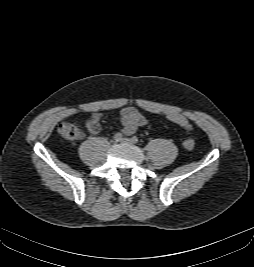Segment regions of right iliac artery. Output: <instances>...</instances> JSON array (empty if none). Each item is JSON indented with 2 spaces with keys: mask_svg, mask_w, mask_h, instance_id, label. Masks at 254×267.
Returning a JSON list of instances; mask_svg holds the SVG:
<instances>
[{
  "mask_svg": "<svg viewBox=\"0 0 254 267\" xmlns=\"http://www.w3.org/2000/svg\"><path fill=\"white\" fill-rule=\"evenodd\" d=\"M123 135L121 133H116L113 137L114 141L118 142L122 139Z\"/></svg>",
  "mask_w": 254,
  "mask_h": 267,
  "instance_id": "right-iliac-artery-1",
  "label": "right iliac artery"
}]
</instances>
